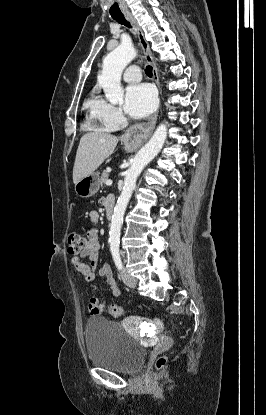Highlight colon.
Returning a JSON list of instances; mask_svg holds the SVG:
<instances>
[{"mask_svg":"<svg viewBox=\"0 0 266 415\" xmlns=\"http://www.w3.org/2000/svg\"><path fill=\"white\" fill-rule=\"evenodd\" d=\"M87 246L86 238L79 232H72L68 236V251L71 254L80 253ZM102 310H106L111 316L119 317L123 314L124 310L120 305L111 304L107 307H103ZM152 325L156 329H163V323L158 318L152 320ZM166 358L164 356L159 357L156 360V368L160 369L164 366Z\"/></svg>","mask_w":266,"mask_h":415,"instance_id":"1","label":"colon"}]
</instances>
